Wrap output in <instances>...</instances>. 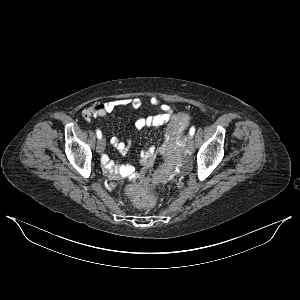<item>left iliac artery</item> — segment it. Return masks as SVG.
Returning a JSON list of instances; mask_svg holds the SVG:
<instances>
[{"label": "left iliac artery", "mask_w": 300, "mask_h": 300, "mask_svg": "<svg viewBox=\"0 0 300 300\" xmlns=\"http://www.w3.org/2000/svg\"><path fill=\"white\" fill-rule=\"evenodd\" d=\"M194 133H195V127L192 126V127L190 128L189 134H190L191 136H193Z\"/></svg>", "instance_id": "left-iliac-artery-1"}]
</instances>
